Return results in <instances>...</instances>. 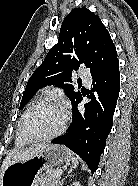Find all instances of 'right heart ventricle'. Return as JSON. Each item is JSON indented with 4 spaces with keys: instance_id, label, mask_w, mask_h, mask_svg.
Masks as SVG:
<instances>
[{
    "instance_id": "e07e8e85",
    "label": "right heart ventricle",
    "mask_w": 138,
    "mask_h": 186,
    "mask_svg": "<svg viewBox=\"0 0 138 186\" xmlns=\"http://www.w3.org/2000/svg\"><path fill=\"white\" fill-rule=\"evenodd\" d=\"M39 100H41V99H40V98L35 99L34 102H33L32 104L36 103V102L39 101ZM32 104H31V105H32ZM31 105H30V106H31ZM30 106H29V107H30ZM29 107H28V108H29ZM15 143H16V146H17V147H24V146H26V145L29 144V142L24 141V140L22 139V137L20 136V133H19V125H18L17 130H16V139H15Z\"/></svg>"
}]
</instances>
